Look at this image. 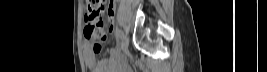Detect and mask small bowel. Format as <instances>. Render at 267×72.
<instances>
[{
    "label": "small bowel",
    "instance_id": "c3829d8e",
    "mask_svg": "<svg viewBox=\"0 0 267 72\" xmlns=\"http://www.w3.org/2000/svg\"><path fill=\"white\" fill-rule=\"evenodd\" d=\"M114 5L110 4L108 7V14L112 16L114 13ZM85 62L91 72H113V60L101 59L96 60V52L92 49L91 45L87 43L86 51L84 53Z\"/></svg>",
    "mask_w": 267,
    "mask_h": 72
}]
</instances>
